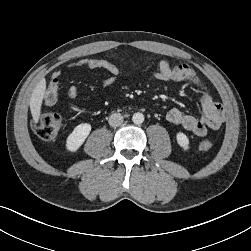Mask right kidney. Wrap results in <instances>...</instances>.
Instances as JSON below:
<instances>
[{
  "mask_svg": "<svg viewBox=\"0 0 251 251\" xmlns=\"http://www.w3.org/2000/svg\"><path fill=\"white\" fill-rule=\"evenodd\" d=\"M90 131L91 125L88 123L77 125L66 139V149L70 152H76L84 143Z\"/></svg>",
  "mask_w": 251,
  "mask_h": 251,
  "instance_id": "obj_1",
  "label": "right kidney"
}]
</instances>
